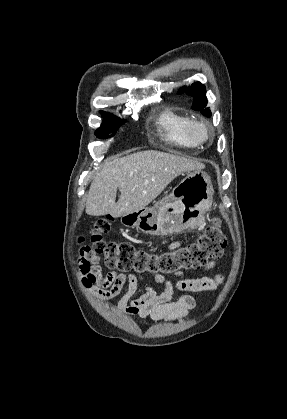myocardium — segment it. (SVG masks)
I'll use <instances>...</instances> for the list:
<instances>
[{
    "mask_svg": "<svg viewBox=\"0 0 287 419\" xmlns=\"http://www.w3.org/2000/svg\"><path fill=\"white\" fill-rule=\"evenodd\" d=\"M197 130L202 132L197 135ZM186 133L189 139L196 145L207 142L211 137V130L209 126L201 120L190 119L186 126Z\"/></svg>",
    "mask_w": 287,
    "mask_h": 419,
    "instance_id": "obj_1",
    "label": "myocardium"
}]
</instances>
